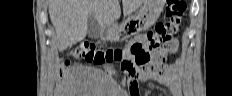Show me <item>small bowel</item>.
Listing matches in <instances>:
<instances>
[{
    "label": "small bowel",
    "instance_id": "1",
    "mask_svg": "<svg viewBox=\"0 0 232 96\" xmlns=\"http://www.w3.org/2000/svg\"><path fill=\"white\" fill-rule=\"evenodd\" d=\"M147 35H139L137 36L132 42L131 45L140 44L145 45L147 41ZM172 52H175L178 47V43L174 41L171 45ZM68 62L65 64L67 65ZM179 64L177 65H170L161 68V71L154 72V71H147L143 72L139 76L140 81H156L164 86H166L173 96H181L182 95V85H181V78L179 74ZM136 80L130 81L131 86V93L129 96H141L140 93L136 91Z\"/></svg>",
    "mask_w": 232,
    "mask_h": 96
}]
</instances>
